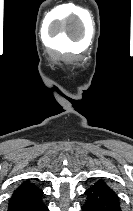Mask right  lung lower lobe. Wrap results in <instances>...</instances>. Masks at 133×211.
Segmentation results:
<instances>
[{
  "label": "right lung lower lobe",
  "mask_w": 133,
  "mask_h": 211,
  "mask_svg": "<svg viewBox=\"0 0 133 211\" xmlns=\"http://www.w3.org/2000/svg\"><path fill=\"white\" fill-rule=\"evenodd\" d=\"M11 211H48L47 206L43 203L42 198L35 203L12 209Z\"/></svg>",
  "instance_id": "obj_1"
}]
</instances>
